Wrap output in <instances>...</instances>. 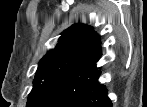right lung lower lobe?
<instances>
[{
	"instance_id": "obj_1",
	"label": "right lung lower lobe",
	"mask_w": 147,
	"mask_h": 107,
	"mask_svg": "<svg viewBox=\"0 0 147 107\" xmlns=\"http://www.w3.org/2000/svg\"><path fill=\"white\" fill-rule=\"evenodd\" d=\"M99 75L67 107H112L106 87L98 82Z\"/></svg>"
}]
</instances>
